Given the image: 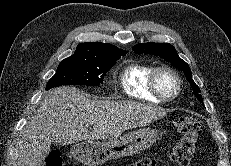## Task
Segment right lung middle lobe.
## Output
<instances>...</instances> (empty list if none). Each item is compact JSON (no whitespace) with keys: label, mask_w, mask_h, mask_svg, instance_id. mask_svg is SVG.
Masks as SVG:
<instances>
[{"label":"right lung middle lobe","mask_w":231,"mask_h":166,"mask_svg":"<svg viewBox=\"0 0 231 166\" xmlns=\"http://www.w3.org/2000/svg\"><path fill=\"white\" fill-rule=\"evenodd\" d=\"M126 53L100 58L72 55L59 64L55 75L48 81L46 90L61 85L99 86L103 83L106 72Z\"/></svg>","instance_id":"dd1d6c3e"}]
</instances>
